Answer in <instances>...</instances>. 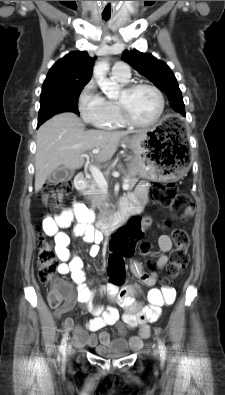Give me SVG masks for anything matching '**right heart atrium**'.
<instances>
[{
  "label": "right heart atrium",
  "mask_w": 225,
  "mask_h": 395,
  "mask_svg": "<svg viewBox=\"0 0 225 395\" xmlns=\"http://www.w3.org/2000/svg\"><path fill=\"white\" fill-rule=\"evenodd\" d=\"M78 109L85 123L94 127H101L108 115L106 99L97 92L95 83L90 81L82 90Z\"/></svg>",
  "instance_id": "d8ad5b80"
}]
</instances>
